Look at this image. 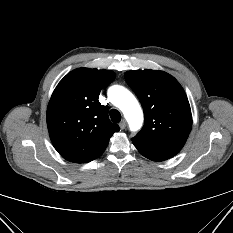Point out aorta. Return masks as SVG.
<instances>
[{
  "label": "aorta",
  "instance_id": "1",
  "mask_svg": "<svg viewBox=\"0 0 233 233\" xmlns=\"http://www.w3.org/2000/svg\"><path fill=\"white\" fill-rule=\"evenodd\" d=\"M108 98L123 112L130 130L140 129L143 123V113L138 101L129 90L120 85H113L108 89Z\"/></svg>",
  "mask_w": 233,
  "mask_h": 233
}]
</instances>
